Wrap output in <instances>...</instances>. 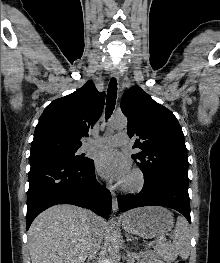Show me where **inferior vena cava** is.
Returning <instances> with one entry per match:
<instances>
[{
  "instance_id": "602c4592",
  "label": "inferior vena cava",
  "mask_w": 220,
  "mask_h": 263,
  "mask_svg": "<svg viewBox=\"0 0 220 263\" xmlns=\"http://www.w3.org/2000/svg\"><path fill=\"white\" fill-rule=\"evenodd\" d=\"M89 213L92 218L97 217L94 213L92 212ZM90 231H91V235H90V243H89V259L92 260L95 258V255L99 250L100 244L103 240V230L95 226H92Z\"/></svg>"
}]
</instances>
